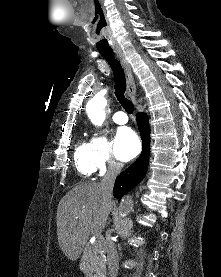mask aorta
I'll return each instance as SVG.
<instances>
[{
    "label": "aorta",
    "mask_w": 221,
    "mask_h": 277,
    "mask_svg": "<svg viewBox=\"0 0 221 277\" xmlns=\"http://www.w3.org/2000/svg\"><path fill=\"white\" fill-rule=\"evenodd\" d=\"M107 105L105 98H95L87 105V113L91 122L94 125L101 126L105 120L104 108ZM133 209V199L131 196L126 195L123 197L119 204V210L123 216L129 214Z\"/></svg>",
    "instance_id": "1"
}]
</instances>
